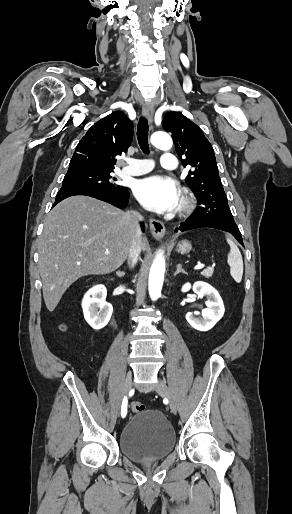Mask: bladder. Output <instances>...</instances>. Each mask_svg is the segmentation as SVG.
<instances>
[{
  "mask_svg": "<svg viewBox=\"0 0 292 514\" xmlns=\"http://www.w3.org/2000/svg\"><path fill=\"white\" fill-rule=\"evenodd\" d=\"M118 445L121 453L136 462L166 457L176 445L175 432L164 416L155 409L136 412L123 426Z\"/></svg>",
  "mask_w": 292,
  "mask_h": 514,
  "instance_id": "1",
  "label": "bladder"
}]
</instances>
